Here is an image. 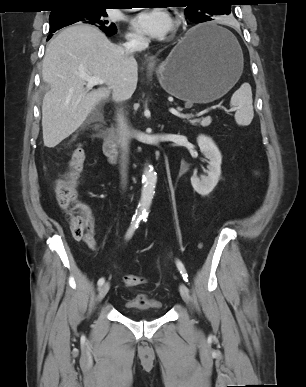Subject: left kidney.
Returning <instances> with one entry per match:
<instances>
[{"mask_svg": "<svg viewBox=\"0 0 306 387\" xmlns=\"http://www.w3.org/2000/svg\"><path fill=\"white\" fill-rule=\"evenodd\" d=\"M197 143L201 153L208 160L207 175L198 177L197 171H194L191 177V184L198 194L206 196L213 191L219 181L222 156L218 147L210 137L200 135L197 138Z\"/></svg>", "mask_w": 306, "mask_h": 387, "instance_id": "5707ae66", "label": "left kidney"}]
</instances>
